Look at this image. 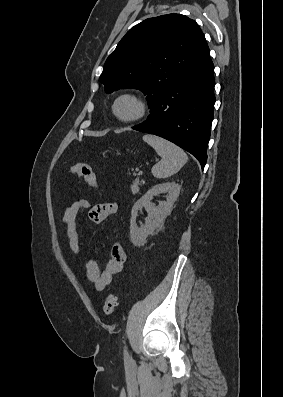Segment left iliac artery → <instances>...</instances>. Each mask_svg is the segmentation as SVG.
Here are the masks:
<instances>
[{
  "mask_svg": "<svg viewBox=\"0 0 283 397\" xmlns=\"http://www.w3.org/2000/svg\"><path fill=\"white\" fill-rule=\"evenodd\" d=\"M124 358H125V360H129L130 359L129 354H128V350H127V346H125V348H124Z\"/></svg>",
  "mask_w": 283,
  "mask_h": 397,
  "instance_id": "left-iliac-artery-1",
  "label": "left iliac artery"
}]
</instances>
